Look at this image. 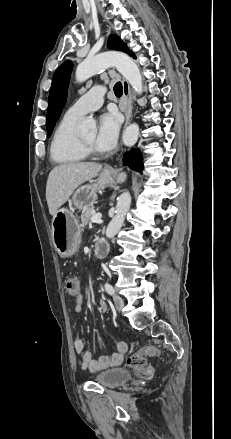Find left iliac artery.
I'll use <instances>...</instances> for the list:
<instances>
[{
  "mask_svg": "<svg viewBox=\"0 0 231 439\" xmlns=\"http://www.w3.org/2000/svg\"><path fill=\"white\" fill-rule=\"evenodd\" d=\"M105 289L110 295H113L115 293L113 286L109 283H105Z\"/></svg>",
  "mask_w": 231,
  "mask_h": 439,
  "instance_id": "left-iliac-artery-1",
  "label": "left iliac artery"
}]
</instances>
